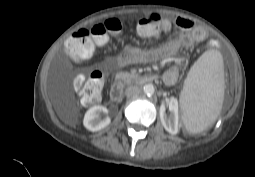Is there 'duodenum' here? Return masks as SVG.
Listing matches in <instances>:
<instances>
[{
    "label": "duodenum",
    "mask_w": 255,
    "mask_h": 177,
    "mask_svg": "<svg viewBox=\"0 0 255 177\" xmlns=\"http://www.w3.org/2000/svg\"><path fill=\"white\" fill-rule=\"evenodd\" d=\"M158 79L156 74H144L136 78V82L139 84L153 83ZM122 86L120 83H115L110 90V97L113 101L118 102L122 97Z\"/></svg>",
    "instance_id": "1"
}]
</instances>
